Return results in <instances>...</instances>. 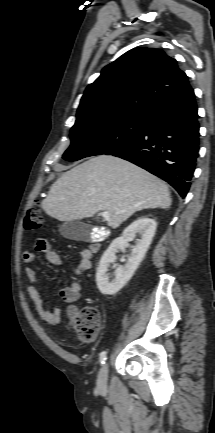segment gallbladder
Instances as JSON below:
<instances>
[{
  "mask_svg": "<svg viewBox=\"0 0 215 433\" xmlns=\"http://www.w3.org/2000/svg\"><path fill=\"white\" fill-rule=\"evenodd\" d=\"M60 234L75 241H87L90 239V225L78 220L68 221L59 226Z\"/></svg>",
  "mask_w": 215,
  "mask_h": 433,
  "instance_id": "1",
  "label": "gallbladder"
}]
</instances>
